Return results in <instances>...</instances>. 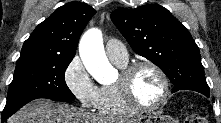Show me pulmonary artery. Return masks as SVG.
Here are the masks:
<instances>
[{"label":"pulmonary artery","mask_w":221,"mask_h":123,"mask_svg":"<svg viewBox=\"0 0 221 123\" xmlns=\"http://www.w3.org/2000/svg\"><path fill=\"white\" fill-rule=\"evenodd\" d=\"M106 54L114 63L127 64L128 52L125 46L116 39H110L106 43Z\"/></svg>","instance_id":"1"}]
</instances>
